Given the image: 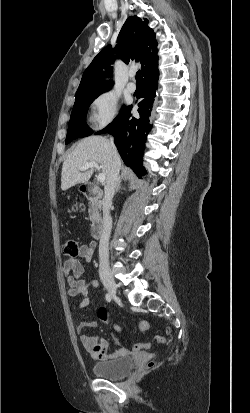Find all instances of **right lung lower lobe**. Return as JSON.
<instances>
[{"label":"right lung lower lobe","mask_w":250,"mask_h":413,"mask_svg":"<svg viewBox=\"0 0 250 413\" xmlns=\"http://www.w3.org/2000/svg\"><path fill=\"white\" fill-rule=\"evenodd\" d=\"M158 70L143 78V99L138 103V118L131 116V106L122 109L119 115L106 128L95 134L110 133L115 136V144L125 165L138 176L146 174L142 166V150L152 127L151 116L155 90L158 85Z\"/></svg>","instance_id":"98d812e1"}]
</instances>
